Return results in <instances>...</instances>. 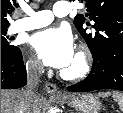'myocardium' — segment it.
<instances>
[{
  "instance_id": "f54148a6",
  "label": "myocardium",
  "mask_w": 123,
  "mask_h": 113,
  "mask_svg": "<svg viewBox=\"0 0 123 113\" xmlns=\"http://www.w3.org/2000/svg\"><path fill=\"white\" fill-rule=\"evenodd\" d=\"M74 60L76 62V66L72 70L64 69L60 72V75L63 79L75 81L85 78L90 73L92 56L87 48H80Z\"/></svg>"
}]
</instances>
